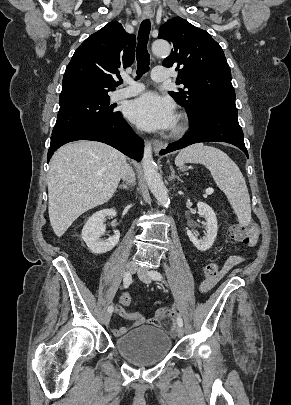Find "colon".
<instances>
[{
	"instance_id": "5ec220e1",
	"label": "colon",
	"mask_w": 291,
	"mask_h": 405,
	"mask_svg": "<svg viewBox=\"0 0 291 405\" xmlns=\"http://www.w3.org/2000/svg\"><path fill=\"white\" fill-rule=\"evenodd\" d=\"M252 228L250 226H245L241 224H231L228 227V235L229 237L238 242L240 245H244L249 243L251 238ZM220 266L217 262H209L203 268V276L206 280H214L219 276ZM120 302L123 306H129L131 303V297L129 294L124 293L121 298ZM164 326L168 330L174 329V323L171 319L165 318L164 319Z\"/></svg>"
}]
</instances>
